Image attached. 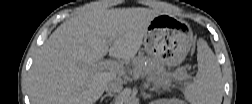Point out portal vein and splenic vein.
<instances>
[{"label": "portal vein and splenic vein", "instance_id": "1", "mask_svg": "<svg viewBox=\"0 0 252 104\" xmlns=\"http://www.w3.org/2000/svg\"><path fill=\"white\" fill-rule=\"evenodd\" d=\"M96 68L98 69H108L110 71L123 74L124 70L123 68L115 61L111 60H106V61H101L96 65ZM189 78V76H187Z\"/></svg>", "mask_w": 252, "mask_h": 104}]
</instances>
